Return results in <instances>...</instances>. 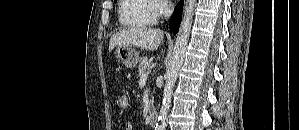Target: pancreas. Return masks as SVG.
Listing matches in <instances>:
<instances>
[{
  "label": "pancreas",
  "mask_w": 299,
  "mask_h": 130,
  "mask_svg": "<svg viewBox=\"0 0 299 130\" xmlns=\"http://www.w3.org/2000/svg\"><path fill=\"white\" fill-rule=\"evenodd\" d=\"M149 65H150V61L148 60L147 57H142L139 61V76L141 77V75L147 73V71L149 70Z\"/></svg>",
  "instance_id": "pancreas-1"
}]
</instances>
